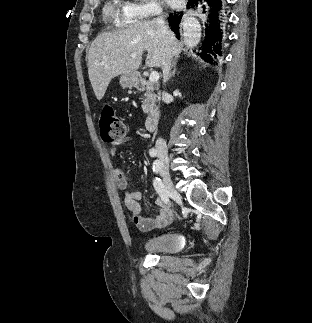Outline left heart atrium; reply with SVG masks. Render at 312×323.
<instances>
[{"label": "left heart atrium", "instance_id": "39dd6f15", "mask_svg": "<svg viewBox=\"0 0 312 323\" xmlns=\"http://www.w3.org/2000/svg\"><path fill=\"white\" fill-rule=\"evenodd\" d=\"M166 4H179L180 0H165Z\"/></svg>", "mask_w": 312, "mask_h": 323}]
</instances>
